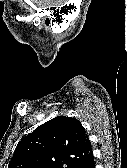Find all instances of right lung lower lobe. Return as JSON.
Masks as SVG:
<instances>
[{
    "mask_svg": "<svg viewBox=\"0 0 127 168\" xmlns=\"http://www.w3.org/2000/svg\"><path fill=\"white\" fill-rule=\"evenodd\" d=\"M74 168H95L93 156L82 163L76 165Z\"/></svg>",
    "mask_w": 127,
    "mask_h": 168,
    "instance_id": "obj_1",
    "label": "right lung lower lobe"
}]
</instances>
